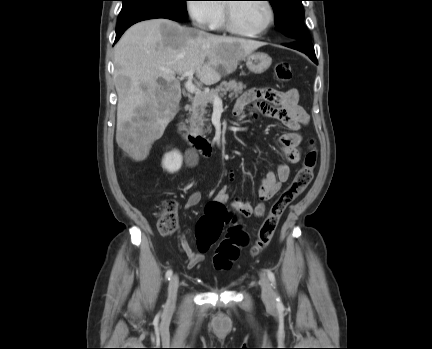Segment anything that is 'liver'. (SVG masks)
I'll list each match as a JSON object with an SVG mask.
<instances>
[{
	"label": "liver",
	"instance_id": "obj_1",
	"mask_svg": "<svg viewBox=\"0 0 432 349\" xmlns=\"http://www.w3.org/2000/svg\"><path fill=\"white\" fill-rule=\"evenodd\" d=\"M263 45L210 34L168 19L133 25L114 49L118 146L135 161H142L174 119L181 89L165 70L177 74L193 70L201 83L212 85L222 74L235 71L241 60ZM159 78L165 83H158Z\"/></svg>",
	"mask_w": 432,
	"mask_h": 349
}]
</instances>
